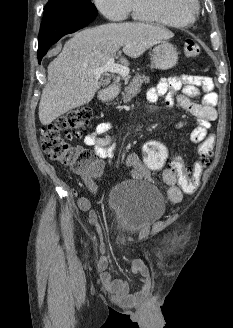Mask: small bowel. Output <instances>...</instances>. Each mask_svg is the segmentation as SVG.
Instances as JSON below:
<instances>
[{"label":"small bowel","mask_w":233,"mask_h":328,"mask_svg":"<svg viewBox=\"0 0 233 328\" xmlns=\"http://www.w3.org/2000/svg\"><path fill=\"white\" fill-rule=\"evenodd\" d=\"M214 85L210 77L197 75H182L178 77L162 78L159 82L147 91V98L151 102H156L160 97H164L167 106L171 107L177 103L181 108L194 115L197 125L191 130L190 141L200 143L207 137V132L211 127V122L217 118V94L213 91ZM204 92L201 104L195 103L192 99ZM188 122L180 121L177 127L187 128ZM111 124L103 121L95 127L94 131L84 137V144L94 149L96 155L101 159H109L113 155V141L108 135ZM124 165L128 170L124 173L134 180L147 179L149 172L139 156L130 153L126 156ZM162 178L168 186L167 195L171 202L178 203L183 198V191L178 184V179L174 171L169 167L163 171ZM88 189L93 193H98V188L92 179L86 181ZM78 206L81 210L89 212L90 221L93 224L98 222L97 214L92 209L91 201L87 197L78 199ZM131 271L138 275L139 285L134 293L130 292L129 284L122 279H114L106 269L100 270V281L110 298L120 304L130 305L144 299L151 287V279L147 266L140 258L132 261Z\"/></svg>","instance_id":"1"}]
</instances>
